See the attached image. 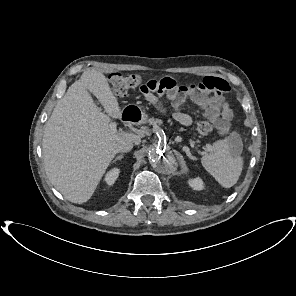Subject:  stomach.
<instances>
[{
	"label": "stomach",
	"mask_w": 296,
	"mask_h": 296,
	"mask_svg": "<svg viewBox=\"0 0 296 296\" xmlns=\"http://www.w3.org/2000/svg\"><path fill=\"white\" fill-rule=\"evenodd\" d=\"M141 118L142 120H146L147 119V115L141 111Z\"/></svg>",
	"instance_id": "1"
}]
</instances>
